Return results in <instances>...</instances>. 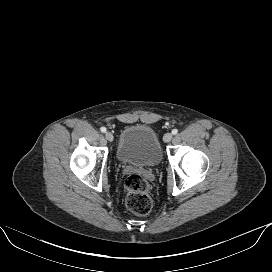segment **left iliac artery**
Segmentation results:
<instances>
[{
    "label": "left iliac artery",
    "instance_id": "1",
    "mask_svg": "<svg viewBox=\"0 0 272 272\" xmlns=\"http://www.w3.org/2000/svg\"><path fill=\"white\" fill-rule=\"evenodd\" d=\"M177 133H178V130H177V129H173V130H172V134H173V135H176Z\"/></svg>",
    "mask_w": 272,
    "mask_h": 272
}]
</instances>
